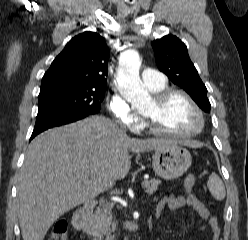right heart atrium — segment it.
<instances>
[{
    "label": "right heart atrium",
    "mask_w": 248,
    "mask_h": 240,
    "mask_svg": "<svg viewBox=\"0 0 248 240\" xmlns=\"http://www.w3.org/2000/svg\"><path fill=\"white\" fill-rule=\"evenodd\" d=\"M108 109L120 124L129 130L136 131L142 126V119L119 94H114L108 101Z\"/></svg>",
    "instance_id": "right-heart-atrium-1"
}]
</instances>
